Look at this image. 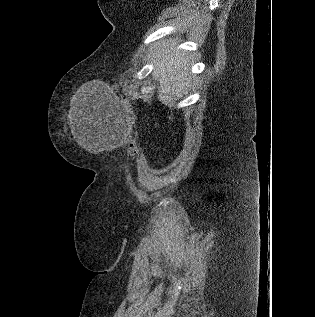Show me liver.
<instances>
[{
    "mask_svg": "<svg viewBox=\"0 0 315 317\" xmlns=\"http://www.w3.org/2000/svg\"><path fill=\"white\" fill-rule=\"evenodd\" d=\"M177 46V39L163 40L158 44V48L152 56V61L155 63L152 76L158 82V99L162 104L170 107L188 92L194 79L189 74L190 56L185 52L176 50ZM75 110L74 108L73 112ZM70 122L71 131L77 142L88 149L89 144L79 134L80 120L78 115H73Z\"/></svg>",
    "mask_w": 315,
    "mask_h": 317,
    "instance_id": "liver-1",
    "label": "liver"
}]
</instances>
